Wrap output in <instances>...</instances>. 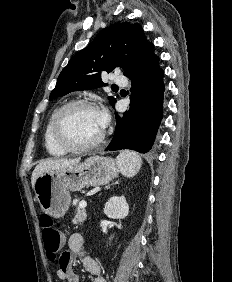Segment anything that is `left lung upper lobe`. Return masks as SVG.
Instances as JSON below:
<instances>
[{
	"label": "left lung upper lobe",
	"instance_id": "obj_1",
	"mask_svg": "<svg viewBox=\"0 0 232 282\" xmlns=\"http://www.w3.org/2000/svg\"><path fill=\"white\" fill-rule=\"evenodd\" d=\"M149 43L139 24L125 22L105 28L87 48L68 62L58 76L50 100L73 91L105 86L102 73H111L116 67H123L124 75H127L140 61ZM108 98L114 105L116 100Z\"/></svg>",
	"mask_w": 232,
	"mask_h": 282
}]
</instances>
